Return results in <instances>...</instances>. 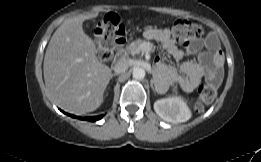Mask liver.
I'll return each instance as SVG.
<instances>
[{
	"instance_id": "6515ba94",
	"label": "liver",
	"mask_w": 261,
	"mask_h": 162,
	"mask_svg": "<svg viewBox=\"0 0 261 162\" xmlns=\"http://www.w3.org/2000/svg\"><path fill=\"white\" fill-rule=\"evenodd\" d=\"M98 12L65 20L52 35L43 64L45 85L54 102L75 114L95 111L103 101L111 69L96 57L82 24Z\"/></svg>"
}]
</instances>
